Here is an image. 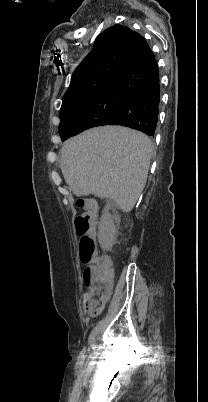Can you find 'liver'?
<instances>
[{
    "label": "liver",
    "instance_id": "1",
    "mask_svg": "<svg viewBox=\"0 0 208 402\" xmlns=\"http://www.w3.org/2000/svg\"><path fill=\"white\" fill-rule=\"evenodd\" d=\"M60 154L61 172L75 196L110 198L131 212L145 188L152 144L142 132L102 126L70 138Z\"/></svg>",
    "mask_w": 208,
    "mask_h": 402
}]
</instances>
